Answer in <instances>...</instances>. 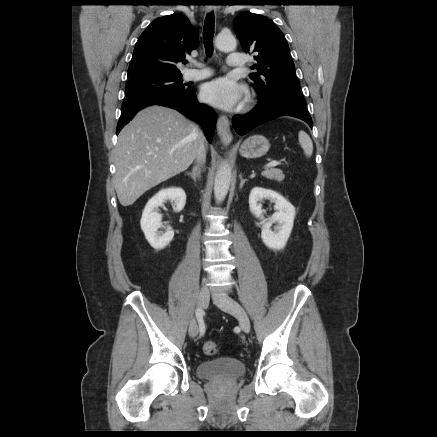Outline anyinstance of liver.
I'll list each match as a JSON object with an SVG mask.
<instances>
[{
	"instance_id": "obj_1",
	"label": "liver",
	"mask_w": 437,
	"mask_h": 437,
	"mask_svg": "<svg viewBox=\"0 0 437 437\" xmlns=\"http://www.w3.org/2000/svg\"><path fill=\"white\" fill-rule=\"evenodd\" d=\"M198 126L178 111L152 105L139 111L118 135L114 186L122 206L185 171L203 141Z\"/></svg>"
}]
</instances>
